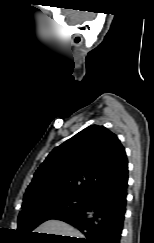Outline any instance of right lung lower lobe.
Returning a JSON list of instances; mask_svg holds the SVG:
<instances>
[{
    "mask_svg": "<svg viewBox=\"0 0 154 243\" xmlns=\"http://www.w3.org/2000/svg\"><path fill=\"white\" fill-rule=\"evenodd\" d=\"M128 167L102 182L86 197L85 204L54 219L67 222L83 234L74 243H120L126 211Z\"/></svg>",
    "mask_w": 154,
    "mask_h": 243,
    "instance_id": "1",
    "label": "right lung lower lobe"
}]
</instances>
